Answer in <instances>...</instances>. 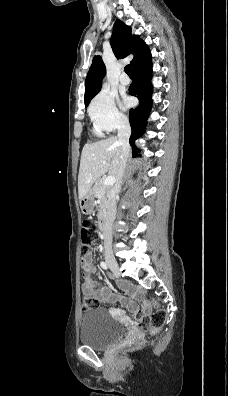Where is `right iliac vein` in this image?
<instances>
[{
  "mask_svg": "<svg viewBox=\"0 0 228 396\" xmlns=\"http://www.w3.org/2000/svg\"><path fill=\"white\" fill-rule=\"evenodd\" d=\"M105 260H106V263L108 264V266L110 267V269L113 271V273L115 275H119V265H118L116 259L112 255L107 254L105 256Z\"/></svg>",
  "mask_w": 228,
  "mask_h": 396,
  "instance_id": "obj_1",
  "label": "right iliac vein"
}]
</instances>
